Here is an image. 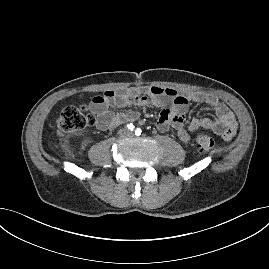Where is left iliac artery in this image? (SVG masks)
Segmentation results:
<instances>
[{
  "mask_svg": "<svg viewBox=\"0 0 269 269\" xmlns=\"http://www.w3.org/2000/svg\"><path fill=\"white\" fill-rule=\"evenodd\" d=\"M141 129L140 128H137L136 130H135V134L137 135V136H139L140 134H141Z\"/></svg>",
  "mask_w": 269,
  "mask_h": 269,
  "instance_id": "1",
  "label": "left iliac artery"
}]
</instances>
